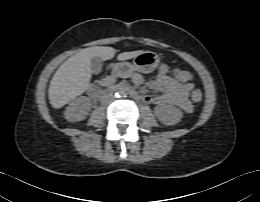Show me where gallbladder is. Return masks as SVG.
<instances>
[{
	"label": "gallbladder",
	"instance_id": "gallbladder-1",
	"mask_svg": "<svg viewBox=\"0 0 260 202\" xmlns=\"http://www.w3.org/2000/svg\"><path fill=\"white\" fill-rule=\"evenodd\" d=\"M91 72L93 74H99L102 70V60L99 57H93L90 65Z\"/></svg>",
	"mask_w": 260,
	"mask_h": 202
}]
</instances>
